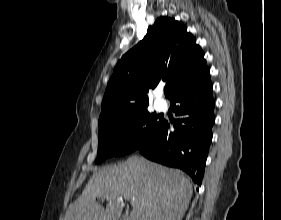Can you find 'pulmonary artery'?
I'll list each match as a JSON object with an SVG mask.
<instances>
[{"label": "pulmonary artery", "mask_w": 281, "mask_h": 220, "mask_svg": "<svg viewBox=\"0 0 281 220\" xmlns=\"http://www.w3.org/2000/svg\"><path fill=\"white\" fill-rule=\"evenodd\" d=\"M155 103H156L157 108L160 110H164L166 108V106H167L166 102L163 99H161V92L157 93V99H156Z\"/></svg>", "instance_id": "1"}]
</instances>
